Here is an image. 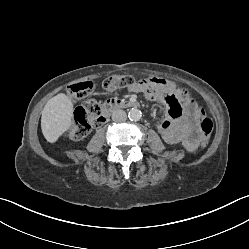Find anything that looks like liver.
Masks as SVG:
<instances>
[{"mask_svg": "<svg viewBox=\"0 0 249 249\" xmlns=\"http://www.w3.org/2000/svg\"><path fill=\"white\" fill-rule=\"evenodd\" d=\"M73 118V103L63 93L52 97L43 108L41 129L45 139L54 143L66 132Z\"/></svg>", "mask_w": 249, "mask_h": 249, "instance_id": "1", "label": "liver"}]
</instances>
